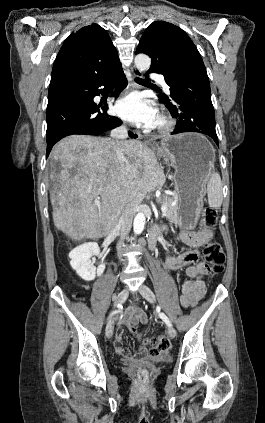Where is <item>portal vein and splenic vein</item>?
<instances>
[{"instance_id": "1", "label": "portal vein and splenic vein", "mask_w": 265, "mask_h": 423, "mask_svg": "<svg viewBox=\"0 0 265 423\" xmlns=\"http://www.w3.org/2000/svg\"><path fill=\"white\" fill-rule=\"evenodd\" d=\"M94 204H95V205H97V206H99V205H100V200H99V198L94 200ZM167 209H168V208H167V206H166V205H162V206H161V211H162V213H163V214H165V213L167 212Z\"/></svg>"}]
</instances>
